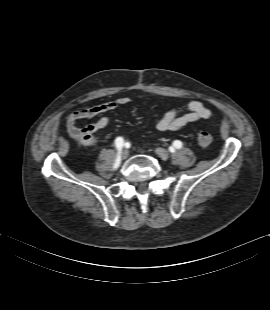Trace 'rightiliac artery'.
Returning <instances> with one entry per match:
<instances>
[{"label": "right iliac artery", "instance_id": "82829eb1", "mask_svg": "<svg viewBox=\"0 0 270 310\" xmlns=\"http://www.w3.org/2000/svg\"><path fill=\"white\" fill-rule=\"evenodd\" d=\"M123 143H124V140L122 137H117L116 140H115V146L118 150V156H117V159L115 161V164H114V168H118V166L120 165V161H121V151H122V148H123Z\"/></svg>", "mask_w": 270, "mask_h": 310}]
</instances>
